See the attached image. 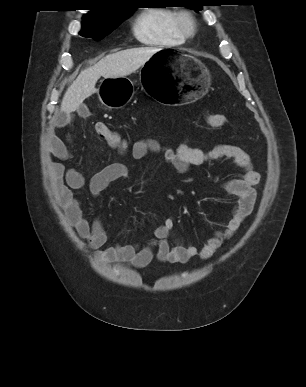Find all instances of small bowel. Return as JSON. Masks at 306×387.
<instances>
[{
  "label": "small bowel",
  "instance_id": "obj_1",
  "mask_svg": "<svg viewBox=\"0 0 306 387\" xmlns=\"http://www.w3.org/2000/svg\"><path fill=\"white\" fill-rule=\"evenodd\" d=\"M71 116V114H62L56 117L50 127L48 150L57 159L64 160L70 156L67 143L55 131L68 127ZM152 154H162L165 161L173 165L181 174L187 173L192 166L224 158L233 160L244 170L241 176L229 179L222 184L224 191L235 198L230 210V218L223 228L214 232L201 249L172 239L174 224L172 217L154 228L153 237L145 246L116 244L102 249L107 241V233L102 222L99 219L89 222L75 196V192L85 187L83 175L75 169H67L62 163L53 161L50 164L51 180L56 198L67 219L78 235L95 252V256L108 264H128L135 268H143L154 258L169 263H186L196 256L202 259L210 258L226 240L234 235L253 210L256 201L255 185L258 184L260 177L253 169L249 155L242 148L228 144L201 149L192 147L188 141H183L176 147L162 145L153 138H143L133 143L131 148L133 159L141 160ZM128 176L127 165L119 162L111 163L90 178L88 190L92 196H99L112 182L126 179Z\"/></svg>",
  "mask_w": 306,
  "mask_h": 387
}]
</instances>
